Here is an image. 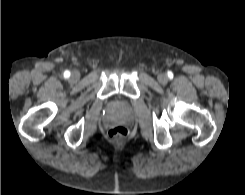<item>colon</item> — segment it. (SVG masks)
<instances>
[{
  "mask_svg": "<svg viewBox=\"0 0 245 195\" xmlns=\"http://www.w3.org/2000/svg\"><path fill=\"white\" fill-rule=\"evenodd\" d=\"M108 135L112 139H121L128 135V130L123 126H117L110 129Z\"/></svg>",
  "mask_w": 245,
  "mask_h": 195,
  "instance_id": "1",
  "label": "colon"
}]
</instances>
